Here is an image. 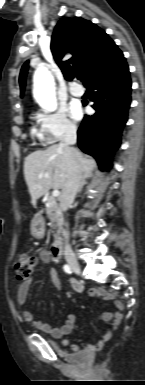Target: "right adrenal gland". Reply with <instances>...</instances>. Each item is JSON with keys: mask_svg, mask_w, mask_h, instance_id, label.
I'll use <instances>...</instances> for the list:
<instances>
[{"mask_svg": "<svg viewBox=\"0 0 145 385\" xmlns=\"http://www.w3.org/2000/svg\"><path fill=\"white\" fill-rule=\"evenodd\" d=\"M88 179H89V177L82 176L81 183H80V186L78 189V193L82 190L84 185L88 184Z\"/></svg>", "mask_w": 145, "mask_h": 385, "instance_id": "obj_1", "label": "right adrenal gland"}]
</instances>
